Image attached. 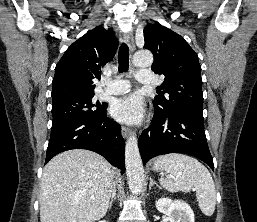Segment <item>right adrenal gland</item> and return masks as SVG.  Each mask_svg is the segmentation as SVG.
I'll return each instance as SVG.
<instances>
[{"label":"right adrenal gland","mask_w":257,"mask_h":222,"mask_svg":"<svg viewBox=\"0 0 257 222\" xmlns=\"http://www.w3.org/2000/svg\"><path fill=\"white\" fill-rule=\"evenodd\" d=\"M115 199H116V187H114L113 192H112V195H111L110 203H109V206H108L109 209H111L112 203H113V201H114Z\"/></svg>","instance_id":"obj_1"}]
</instances>
